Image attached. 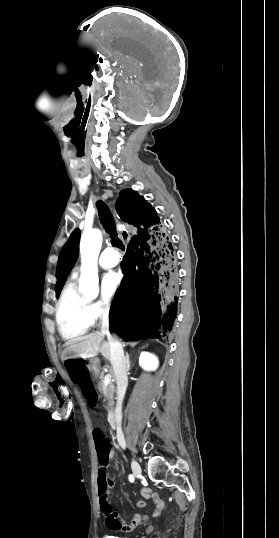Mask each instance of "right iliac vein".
Here are the masks:
<instances>
[{"instance_id": "1", "label": "right iliac vein", "mask_w": 279, "mask_h": 538, "mask_svg": "<svg viewBox=\"0 0 279 538\" xmlns=\"http://www.w3.org/2000/svg\"><path fill=\"white\" fill-rule=\"evenodd\" d=\"M131 467H132L133 474H134L136 477L141 476V467H140V465H139L136 461L133 460V461L131 462Z\"/></svg>"}]
</instances>
